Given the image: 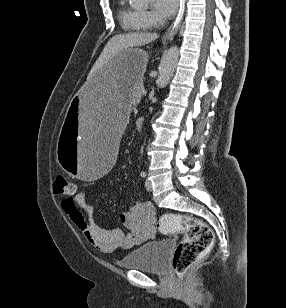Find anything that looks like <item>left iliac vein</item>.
I'll return each mask as SVG.
<instances>
[{"mask_svg": "<svg viewBox=\"0 0 286 308\" xmlns=\"http://www.w3.org/2000/svg\"><path fill=\"white\" fill-rule=\"evenodd\" d=\"M145 187H146L147 191H152V183L149 179L145 180Z\"/></svg>", "mask_w": 286, "mask_h": 308, "instance_id": "4c4485c4", "label": "left iliac vein"}]
</instances>
